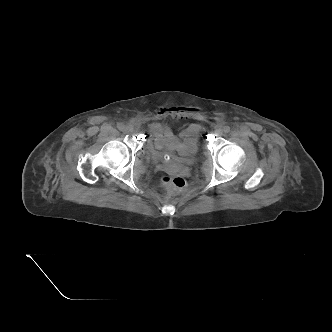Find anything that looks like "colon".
<instances>
[{"instance_id": "colon-1", "label": "colon", "mask_w": 332, "mask_h": 332, "mask_svg": "<svg viewBox=\"0 0 332 332\" xmlns=\"http://www.w3.org/2000/svg\"><path fill=\"white\" fill-rule=\"evenodd\" d=\"M161 183L170 193H178L186 186V181L180 176H163Z\"/></svg>"}]
</instances>
